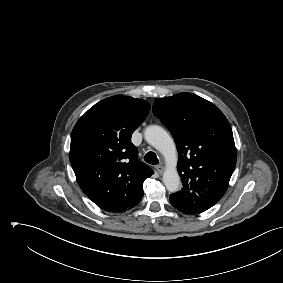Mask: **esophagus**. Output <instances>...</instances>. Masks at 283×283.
Wrapping results in <instances>:
<instances>
[{
    "mask_svg": "<svg viewBox=\"0 0 283 283\" xmlns=\"http://www.w3.org/2000/svg\"><path fill=\"white\" fill-rule=\"evenodd\" d=\"M155 168L159 174H162L164 171V167L162 165H157Z\"/></svg>",
    "mask_w": 283,
    "mask_h": 283,
    "instance_id": "1",
    "label": "esophagus"
}]
</instances>
